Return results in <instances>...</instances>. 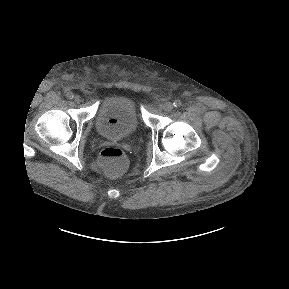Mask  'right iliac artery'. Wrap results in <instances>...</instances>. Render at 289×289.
<instances>
[{"label":"right iliac artery","instance_id":"82829eb1","mask_svg":"<svg viewBox=\"0 0 289 289\" xmlns=\"http://www.w3.org/2000/svg\"><path fill=\"white\" fill-rule=\"evenodd\" d=\"M66 96H67V98H69V99H73V98H74V94H73L72 92H68V93L66 94Z\"/></svg>","mask_w":289,"mask_h":289}]
</instances>
